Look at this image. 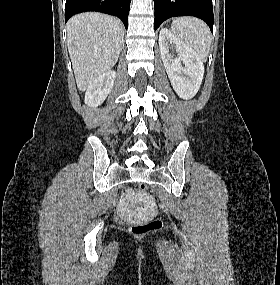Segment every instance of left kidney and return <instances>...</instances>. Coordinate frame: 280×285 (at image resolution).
<instances>
[{"label":"left kidney","mask_w":280,"mask_h":285,"mask_svg":"<svg viewBox=\"0 0 280 285\" xmlns=\"http://www.w3.org/2000/svg\"><path fill=\"white\" fill-rule=\"evenodd\" d=\"M159 48L164 67L175 92L183 99L193 98L198 92L204 76V65L201 58L167 28L160 31ZM173 49H175L177 57H174Z\"/></svg>","instance_id":"5707ae66"}]
</instances>
